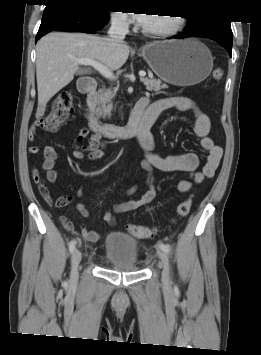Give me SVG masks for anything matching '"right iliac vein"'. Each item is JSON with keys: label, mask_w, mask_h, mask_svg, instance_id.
Segmentation results:
<instances>
[{"label": "right iliac vein", "mask_w": 261, "mask_h": 355, "mask_svg": "<svg viewBox=\"0 0 261 355\" xmlns=\"http://www.w3.org/2000/svg\"><path fill=\"white\" fill-rule=\"evenodd\" d=\"M82 254L81 252L76 249L73 253L72 260H71V282L72 286L77 284L78 281V266L81 262Z\"/></svg>", "instance_id": "obj_1"}]
</instances>
